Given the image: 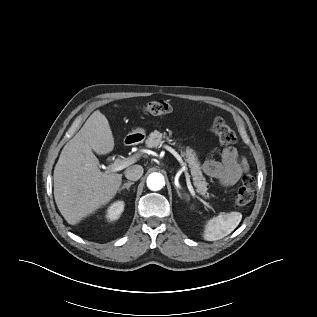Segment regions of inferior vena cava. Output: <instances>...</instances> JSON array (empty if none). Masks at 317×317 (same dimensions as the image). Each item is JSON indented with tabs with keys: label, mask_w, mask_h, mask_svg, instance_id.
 <instances>
[{
	"label": "inferior vena cava",
	"mask_w": 317,
	"mask_h": 317,
	"mask_svg": "<svg viewBox=\"0 0 317 317\" xmlns=\"http://www.w3.org/2000/svg\"><path fill=\"white\" fill-rule=\"evenodd\" d=\"M143 167L141 165H133L125 170V177L132 181H137L143 175Z\"/></svg>",
	"instance_id": "obj_1"
}]
</instances>
